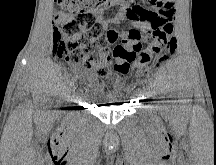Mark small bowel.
I'll list each match as a JSON object with an SVG mask.
<instances>
[{
  "label": "small bowel",
  "instance_id": "1",
  "mask_svg": "<svg viewBox=\"0 0 216 165\" xmlns=\"http://www.w3.org/2000/svg\"><path fill=\"white\" fill-rule=\"evenodd\" d=\"M173 1L174 0H147L148 5H138V2H130L129 0H112V3L108 6V8L119 6V12L112 17H105V10H102L99 12L97 18L105 30V35L108 39L109 45H112L118 40L120 35L115 29L110 28L109 24L128 19L133 26V29L140 31L148 30L150 27L148 20L133 18L130 16V13H150V11L155 12L157 9L174 10ZM128 71L129 68L124 71L117 72L121 75H126ZM88 79L93 94L103 95L100 93V90L97 89L98 83L92 77H88Z\"/></svg>",
  "mask_w": 216,
  "mask_h": 165
}]
</instances>
